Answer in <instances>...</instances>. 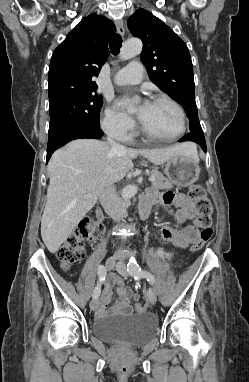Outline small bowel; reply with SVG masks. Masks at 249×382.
I'll return each instance as SVG.
<instances>
[{
  "instance_id": "c3829d8e",
  "label": "small bowel",
  "mask_w": 249,
  "mask_h": 382,
  "mask_svg": "<svg viewBox=\"0 0 249 382\" xmlns=\"http://www.w3.org/2000/svg\"><path fill=\"white\" fill-rule=\"evenodd\" d=\"M147 200L150 204L174 206L176 208L174 218L178 224H184L195 218L196 210L194 204L183 194H176L168 191L162 195H159L158 193L151 191L147 196ZM160 231L164 239L179 247L188 246L190 243L194 242L199 235L198 228L193 224L187 225L180 229H174L170 226L163 225ZM112 286L117 287L119 299L114 307L108 308L110 301V288ZM132 294V290L125 286L121 277L116 274H111L107 279L106 288L103 291L102 298L100 302H98V306L96 308L98 316L104 317L107 315H116L120 313L129 314L131 312L130 297Z\"/></svg>"
}]
</instances>
